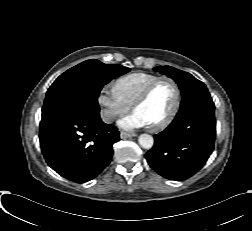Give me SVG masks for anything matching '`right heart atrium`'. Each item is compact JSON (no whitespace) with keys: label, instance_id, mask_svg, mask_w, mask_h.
<instances>
[{"label":"right heart atrium","instance_id":"1","mask_svg":"<svg viewBox=\"0 0 252 231\" xmlns=\"http://www.w3.org/2000/svg\"><path fill=\"white\" fill-rule=\"evenodd\" d=\"M97 100L101 108V118L106 123H111L131 108V105L119 95L115 86L111 85H105L100 90Z\"/></svg>","mask_w":252,"mask_h":231}]
</instances>
